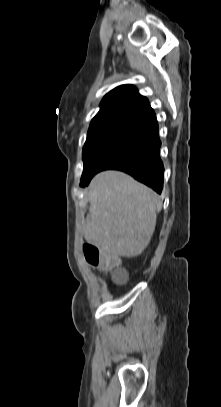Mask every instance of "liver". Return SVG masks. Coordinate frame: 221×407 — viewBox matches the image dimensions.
<instances>
[{"label": "liver", "mask_w": 221, "mask_h": 407, "mask_svg": "<svg viewBox=\"0 0 221 407\" xmlns=\"http://www.w3.org/2000/svg\"><path fill=\"white\" fill-rule=\"evenodd\" d=\"M84 238L112 257H135L149 245L161 208L159 195L120 171H104L88 187Z\"/></svg>", "instance_id": "obj_1"}]
</instances>
